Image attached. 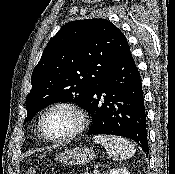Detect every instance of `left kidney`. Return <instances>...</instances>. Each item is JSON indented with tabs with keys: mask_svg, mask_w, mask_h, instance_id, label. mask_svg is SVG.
Returning a JSON list of instances; mask_svg holds the SVG:
<instances>
[{
	"mask_svg": "<svg viewBox=\"0 0 175 174\" xmlns=\"http://www.w3.org/2000/svg\"><path fill=\"white\" fill-rule=\"evenodd\" d=\"M105 174H129V172L126 168H121V169H112L111 171Z\"/></svg>",
	"mask_w": 175,
	"mask_h": 174,
	"instance_id": "obj_1",
	"label": "left kidney"
}]
</instances>
